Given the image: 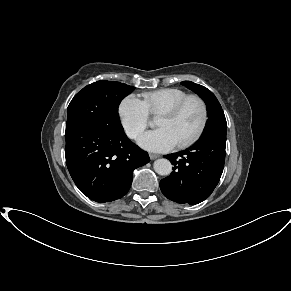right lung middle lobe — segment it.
Listing matches in <instances>:
<instances>
[{"mask_svg": "<svg viewBox=\"0 0 291 291\" xmlns=\"http://www.w3.org/2000/svg\"><path fill=\"white\" fill-rule=\"evenodd\" d=\"M133 90V86L115 81H97L84 87L68 106L66 124L80 123L93 129L121 125L118 106Z\"/></svg>", "mask_w": 291, "mask_h": 291, "instance_id": "dd1d6c3e", "label": "right lung middle lobe"}]
</instances>
